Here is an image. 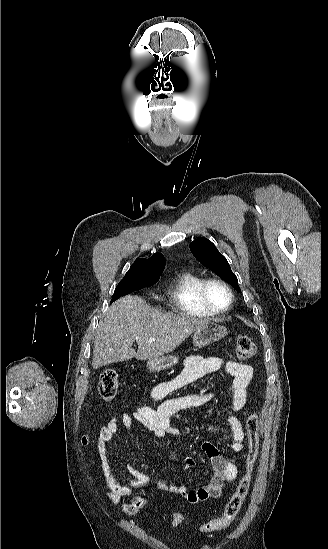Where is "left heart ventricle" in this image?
Returning a JSON list of instances; mask_svg holds the SVG:
<instances>
[{"label": "left heart ventricle", "instance_id": "b2bd125f", "mask_svg": "<svg viewBox=\"0 0 328 549\" xmlns=\"http://www.w3.org/2000/svg\"><path fill=\"white\" fill-rule=\"evenodd\" d=\"M211 306L216 309H224L229 303V294L221 286H213L209 291Z\"/></svg>", "mask_w": 328, "mask_h": 549}]
</instances>
